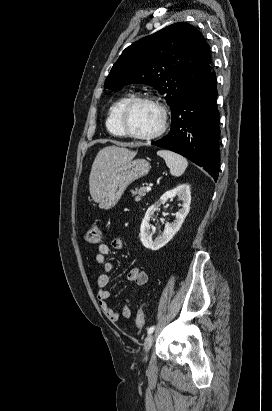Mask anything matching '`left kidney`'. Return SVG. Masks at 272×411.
<instances>
[{"mask_svg": "<svg viewBox=\"0 0 272 411\" xmlns=\"http://www.w3.org/2000/svg\"><path fill=\"white\" fill-rule=\"evenodd\" d=\"M178 196V199L182 201V208L176 213V219L174 222L165 225L164 232L153 240V234L150 232V219L154 216V213L158 210L161 204L167 202L168 199ZM191 192L188 184H181L176 188L165 192L158 202L151 205L144 216L140 228V240L142 244L151 250H158L165 246L173 236L181 228L187 214L190 210Z\"/></svg>", "mask_w": 272, "mask_h": 411, "instance_id": "1", "label": "left kidney"}]
</instances>
